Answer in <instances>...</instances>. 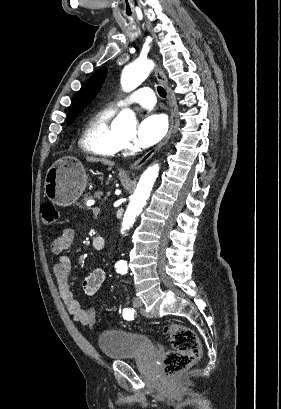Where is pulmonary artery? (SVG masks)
<instances>
[{
    "mask_svg": "<svg viewBox=\"0 0 281 409\" xmlns=\"http://www.w3.org/2000/svg\"><path fill=\"white\" fill-rule=\"evenodd\" d=\"M135 103L139 104L143 108H153L156 96L153 90H142L141 94H136L134 97ZM133 100L131 97H121L117 108L122 110L124 106H131Z\"/></svg>",
    "mask_w": 281,
    "mask_h": 409,
    "instance_id": "pulmonary-artery-1",
    "label": "pulmonary artery"
}]
</instances>
